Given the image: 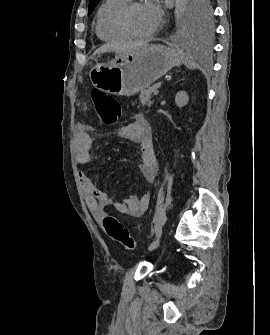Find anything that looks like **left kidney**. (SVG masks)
I'll list each match as a JSON object with an SVG mask.
<instances>
[{"mask_svg":"<svg viewBox=\"0 0 270 335\" xmlns=\"http://www.w3.org/2000/svg\"><path fill=\"white\" fill-rule=\"evenodd\" d=\"M188 94L187 92H177L175 96V102L176 106H179V108H183V106H186L188 104Z\"/></svg>","mask_w":270,"mask_h":335,"instance_id":"obj_1","label":"left kidney"}]
</instances>
